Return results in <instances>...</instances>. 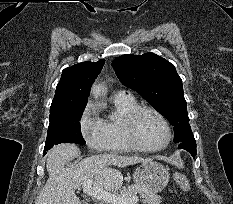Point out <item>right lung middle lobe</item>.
<instances>
[{
	"label": "right lung middle lobe",
	"instance_id": "dd1d6c3e",
	"mask_svg": "<svg viewBox=\"0 0 233 204\" xmlns=\"http://www.w3.org/2000/svg\"><path fill=\"white\" fill-rule=\"evenodd\" d=\"M86 104H65L50 107V124L44 151L63 142L85 144L79 120Z\"/></svg>",
	"mask_w": 233,
	"mask_h": 204
}]
</instances>
